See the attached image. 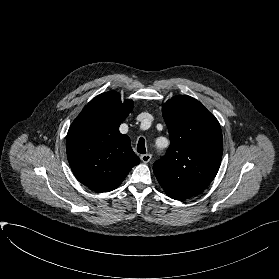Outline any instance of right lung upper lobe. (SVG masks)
<instances>
[{
	"mask_svg": "<svg viewBox=\"0 0 279 279\" xmlns=\"http://www.w3.org/2000/svg\"><path fill=\"white\" fill-rule=\"evenodd\" d=\"M133 109L118 92L102 93L91 100L71 124L66 150L77 179L97 192L116 189L140 163L130 138L119 132L120 124Z\"/></svg>",
	"mask_w": 279,
	"mask_h": 279,
	"instance_id": "1",
	"label": "right lung upper lobe"
}]
</instances>
